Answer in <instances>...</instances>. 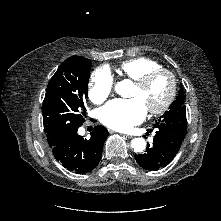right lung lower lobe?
I'll list each match as a JSON object with an SVG mask.
<instances>
[{
	"instance_id": "right-lung-lower-lobe-1",
	"label": "right lung lower lobe",
	"mask_w": 221,
	"mask_h": 221,
	"mask_svg": "<svg viewBox=\"0 0 221 221\" xmlns=\"http://www.w3.org/2000/svg\"><path fill=\"white\" fill-rule=\"evenodd\" d=\"M77 130L49 143L54 157L69 171L85 174L99 163L102 149L109 132L103 126H96L90 139L79 136Z\"/></svg>"
}]
</instances>
